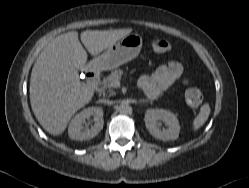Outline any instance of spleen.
<instances>
[{"instance_id":"3e777b00","label":"spleen","mask_w":249,"mask_h":188,"mask_svg":"<svg viewBox=\"0 0 249 188\" xmlns=\"http://www.w3.org/2000/svg\"><path fill=\"white\" fill-rule=\"evenodd\" d=\"M210 114V107L206 103L200 108L198 116L193 120V130H198L207 121Z\"/></svg>"}]
</instances>
